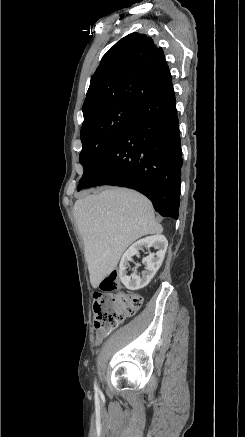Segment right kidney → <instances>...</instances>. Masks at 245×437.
Segmentation results:
<instances>
[{
  "label": "right kidney",
  "instance_id": "obj_1",
  "mask_svg": "<svg viewBox=\"0 0 245 437\" xmlns=\"http://www.w3.org/2000/svg\"><path fill=\"white\" fill-rule=\"evenodd\" d=\"M151 247H154L157 251L143 258L142 263L145 265V270L142 275H136V271H134V273L129 276L126 270L129 267V262L132 261V257L138 254L139 250L144 248L149 249ZM167 247L168 241L166 237L161 234L140 239L132 244L123 254L119 264V277L125 287L133 291L147 286L160 268Z\"/></svg>",
  "mask_w": 245,
  "mask_h": 437
}]
</instances>
